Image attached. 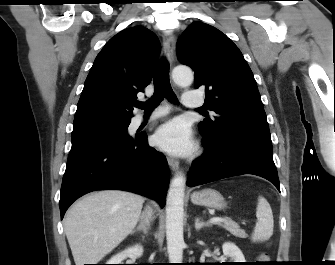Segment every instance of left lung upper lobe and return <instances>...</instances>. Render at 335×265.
I'll list each match as a JSON object with an SVG mask.
<instances>
[{
    "label": "left lung upper lobe",
    "instance_id": "obj_1",
    "mask_svg": "<svg viewBox=\"0 0 335 265\" xmlns=\"http://www.w3.org/2000/svg\"><path fill=\"white\" fill-rule=\"evenodd\" d=\"M177 56L204 87L205 105L217 115L198 124L206 136L246 135L271 142L253 73L238 47L220 30L193 22L177 42Z\"/></svg>",
    "mask_w": 335,
    "mask_h": 265
}]
</instances>
